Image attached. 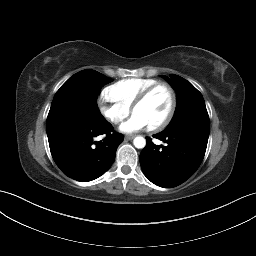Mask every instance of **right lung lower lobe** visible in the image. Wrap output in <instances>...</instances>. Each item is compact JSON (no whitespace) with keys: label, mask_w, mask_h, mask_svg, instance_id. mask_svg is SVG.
I'll return each mask as SVG.
<instances>
[{"label":"right lung lower lobe","mask_w":256,"mask_h":256,"mask_svg":"<svg viewBox=\"0 0 256 256\" xmlns=\"http://www.w3.org/2000/svg\"><path fill=\"white\" fill-rule=\"evenodd\" d=\"M46 130L52 157L60 170L77 181H91L112 165L122 134L113 133L106 120L55 117L47 120ZM106 134L103 141L93 139Z\"/></svg>","instance_id":"98d812e1"}]
</instances>
